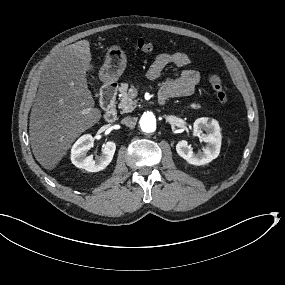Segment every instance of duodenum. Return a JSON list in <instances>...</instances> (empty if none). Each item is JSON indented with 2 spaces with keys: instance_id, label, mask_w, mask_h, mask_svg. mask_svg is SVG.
Segmentation results:
<instances>
[{
  "instance_id": "1",
  "label": "duodenum",
  "mask_w": 285,
  "mask_h": 285,
  "mask_svg": "<svg viewBox=\"0 0 285 285\" xmlns=\"http://www.w3.org/2000/svg\"><path fill=\"white\" fill-rule=\"evenodd\" d=\"M117 89V83L109 82L106 83L101 90L100 102L104 109V118L107 122H113L117 118L115 105Z\"/></svg>"
}]
</instances>
